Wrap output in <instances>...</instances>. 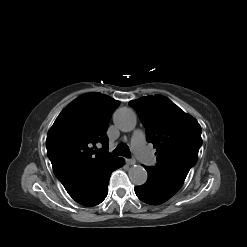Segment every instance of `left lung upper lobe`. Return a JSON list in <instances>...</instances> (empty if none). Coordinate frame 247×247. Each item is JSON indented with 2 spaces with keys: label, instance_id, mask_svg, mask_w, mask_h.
<instances>
[{
  "label": "left lung upper lobe",
  "instance_id": "1",
  "mask_svg": "<svg viewBox=\"0 0 247 247\" xmlns=\"http://www.w3.org/2000/svg\"><path fill=\"white\" fill-rule=\"evenodd\" d=\"M146 128L147 140L157 149V165L177 188H181L202 145L201 127L190 115L162 96H147L129 102Z\"/></svg>",
  "mask_w": 247,
  "mask_h": 247
}]
</instances>
